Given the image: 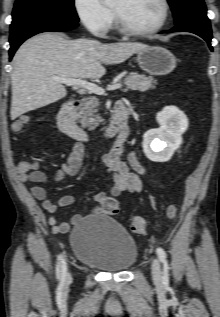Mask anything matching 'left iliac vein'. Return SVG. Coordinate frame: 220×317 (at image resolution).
I'll return each mask as SVG.
<instances>
[{
    "mask_svg": "<svg viewBox=\"0 0 220 317\" xmlns=\"http://www.w3.org/2000/svg\"><path fill=\"white\" fill-rule=\"evenodd\" d=\"M151 272H152V276L153 279L156 282H161L162 281V270H161V265L158 259H154L152 261V265H151Z\"/></svg>",
    "mask_w": 220,
    "mask_h": 317,
    "instance_id": "4c4485c4",
    "label": "left iliac vein"
}]
</instances>
